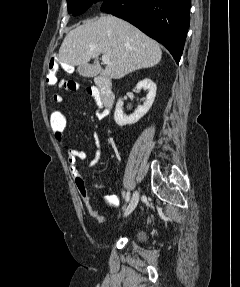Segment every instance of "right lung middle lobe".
<instances>
[{
  "instance_id": "dd1d6c3e",
  "label": "right lung middle lobe",
  "mask_w": 240,
  "mask_h": 287,
  "mask_svg": "<svg viewBox=\"0 0 240 287\" xmlns=\"http://www.w3.org/2000/svg\"><path fill=\"white\" fill-rule=\"evenodd\" d=\"M105 0H67L68 12L73 15L84 13L92 4H102Z\"/></svg>"
}]
</instances>
